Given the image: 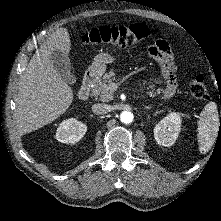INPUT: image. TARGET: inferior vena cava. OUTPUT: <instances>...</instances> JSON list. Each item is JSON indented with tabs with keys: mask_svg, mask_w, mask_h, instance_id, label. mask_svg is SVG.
<instances>
[{
	"mask_svg": "<svg viewBox=\"0 0 221 221\" xmlns=\"http://www.w3.org/2000/svg\"><path fill=\"white\" fill-rule=\"evenodd\" d=\"M92 111L95 114L103 115V114H107L108 112H110L111 108L107 104L97 103L92 106Z\"/></svg>",
	"mask_w": 221,
	"mask_h": 221,
	"instance_id": "obj_1",
	"label": "inferior vena cava"
}]
</instances>
